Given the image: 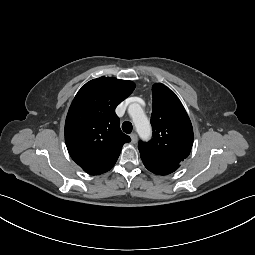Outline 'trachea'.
Returning <instances> with one entry per match:
<instances>
[{
    "label": "trachea",
    "mask_w": 255,
    "mask_h": 255,
    "mask_svg": "<svg viewBox=\"0 0 255 255\" xmlns=\"http://www.w3.org/2000/svg\"><path fill=\"white\" fill-rule=\"evenodd\" d=\"M132 129H133V126L132 124L129 122V121H125L123 124H122V130L127 133V134H130L132 132Z\"/></svg>",
    "instance_id": "1"
}]
</instances>
